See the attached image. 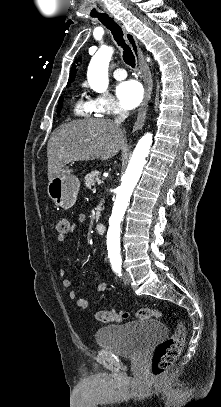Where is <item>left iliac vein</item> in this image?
Wrapping results in <instances>:
<instances>
[{
	"mask_svg": "<svg viewBox=\"0 0 221 407\" xmlns=\"http://www.w3.org/2000/svg\"><path fill=\"white\" fill-rule=\"evenodd\" d=\"M123 282L128 285L131 282V277L130 274L128 272H124L123 273Z\"/></svg>",
	"mask_w": 221,
	"mask_h": 407,
	"instance_id": "obj_1",
	"label": "left iliac vein"
}]
</instances>
